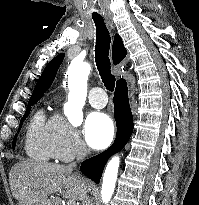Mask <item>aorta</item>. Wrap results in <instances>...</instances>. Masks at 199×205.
Listing matches in <instances>:
<instances>
[{
	"instance_id": "762f6f07",
	"label": "aorta",
	"mask_w": 199,
	"mask_h": 205,
	"mask_svg": "<svg viewBox=\"0 0 199 205\" xmlns=\"http://www.w3.org/2000/svg\"><path fill=\"white\" fill-rule=\"evenodd\" d=\"M91 66L87 62H77L73 60L68 68V103L65 106V114L69 122L78 126L83 121L82 107L85 104L87 96V81ZM120 164L119 156H114L108 162L102 182L101 197L106 205L110 201L118 175Z\"/></svg>"
}]
</instances>
